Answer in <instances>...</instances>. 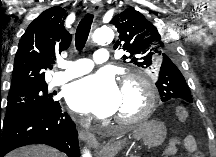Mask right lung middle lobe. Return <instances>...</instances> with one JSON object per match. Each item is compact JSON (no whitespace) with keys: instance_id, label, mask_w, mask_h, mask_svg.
Segmentation results:
<instances>
[{"instance_id":"dd1d6c3e","label":"right lung middle lobe","mask_w":216,"mask_h":157,"mask_svg":"<svg viewBox=\"0 0 216 157\" xmlns=\"http://www.w3.org/2000/svg\"><path fill=\"white\" fill-rule=\"evenodd\" d=\"M7 101V111L3 123L29 113L51 109L58 103V101L53 100L52 94H48L47 85L27 87L9 92Z\"/></svg>"}]
</instances>
